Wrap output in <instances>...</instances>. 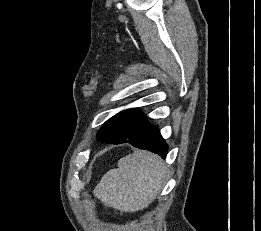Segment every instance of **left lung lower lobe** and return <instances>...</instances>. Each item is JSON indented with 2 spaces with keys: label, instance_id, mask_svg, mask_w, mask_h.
<instances>
[{
  "label": "left lung lower lobe",
  "instance_id": "obj_1",
  "mask_svg": "<svg viewBox=\"0 0 261 231\" xmlns=\"http://www.w3.org/2000/svg\"><path fill=\"white\" fill-rule=\"evenodd\" d=\"M130 143L135 147L140 149L148 150L153 153L160 155L163 159L166 158L168 146L165 143V140L160 134V130L157 126H153L150 132L141 139L134 138H123L115 140L111 143L120 144V143Z\"/></svg>",
  "mask_w": 261,
  "mask_h": 231
}]
</instances>
